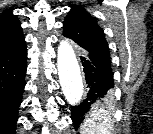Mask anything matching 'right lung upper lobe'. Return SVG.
Instances as JSON below:
<instances>
[{
  "mask_svg": "<svg viewBox=\"0 0 153 134\" xmlns=\"http://www.w3.org/2000/svg\"><path fill=\"white\" fill-rule=\"evenodd\" d=\"M23 41L24 36L18 18L11 11L0 16V53Z\"/></svg>",
  "mask_w": 153,
  "mask_h": 134,
  "instance_id": "right-lung-upper-lobe-1",
  "label": "right lung upper lobe"
}]
</instances>
